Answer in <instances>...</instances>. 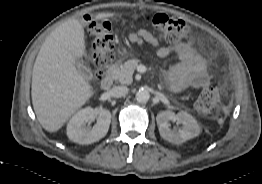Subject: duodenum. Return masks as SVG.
Here are the masks:
<instances>
[{"mask_svg":"<svg viewBox=\"0 0 262 184\" xmlns=\"http://www.w3.org/2000/svg\"><path fill=\"white\" fill-rule=\"evenodd\" d=\"M113 83V78L112 75L110 73V71L103 77V79L101 80V88L105 91L109 90L112 86Z\"/></svg>","mask_w":262,"mask_h":184,"instance_id":"duodenum-1","label":"duodenum"}]
</instances>
